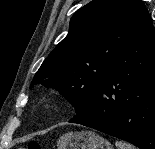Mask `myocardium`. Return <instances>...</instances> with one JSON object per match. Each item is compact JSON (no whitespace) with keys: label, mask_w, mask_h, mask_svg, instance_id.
I'll list each match as a JSON object with an SVG mask.
<instances>
[{"label":"myocardium","mask_w":155,"mask_h":149,"mask_svg":"<svg viewBox=\"0 0 155 149\" xmlns=\"http://www.w3.org/2000/svg\"><path fill=\"white\" fill-rule=\"evenodd\" d=\"M47 112L55 114L61 109V105L58 101H47L44 105Z\"/></svg>","instance_id":"obj_1"}]
</instances>
